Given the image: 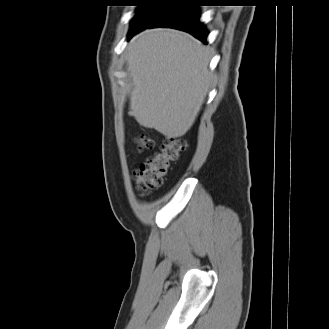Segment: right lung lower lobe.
<instances>
[{
  "label": "right lung lower lobe",
  "instance_id": "obj_1",
  "mask_svg": "<svg viewBox=\"0 0 329 329\" xmlns=\"http://www.w3.org/2000/svg\"><path fill=\"white\" fill-rule=\"evenodd\" d=\"M199 18V12L192 1L178 0L177 3L170 4L150 24L131 31L128 35V39L146 28L170 27L186 31L202 42H206L208 34L203 24L199 21Z\"/></svg>",
  "mask_w": 329,
  "mask_h": 329
}]
</instances>
